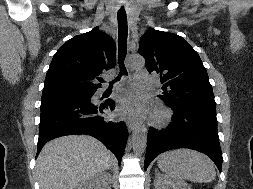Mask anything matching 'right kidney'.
<instances>
[{
  "mask_svg": "<svg viewBox=\"0 0 253 189\" xmlns=\"http://www.w3.org/2000/svg\"><path fill=\"white\" fill-rule=\"evenodd\" d=\"M111 175L101 172L95 176L82 181L76 189H111Z\"/></svg>",
  "mask_w": 253,
  "mask_h": 189,
  "instance_id": "right-kidney-1",
  "label": "right kidney"
}]
</instances>
